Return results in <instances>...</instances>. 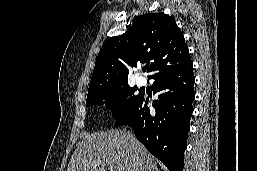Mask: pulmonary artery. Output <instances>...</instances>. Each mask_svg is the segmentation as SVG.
I'll use <instances>...</instances> for the list:
<instances>
[{"label":"pulmonary artery","mask_w":257,"mask_h":171,"mask_svg":"<svg viewBox=\"0 0 257 171\" xmlns=\"http://www.w3.org/2000/svg\"><path fill=\"white\" fill-rule=\"evenodd\" d=\"M145 83H146V80H145L144 77H138V78H137V85H138V86H144Z\"/></svg>","instance_id":"e3ab8cb5"}]
</instances>
